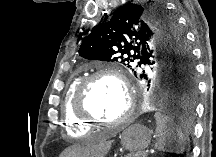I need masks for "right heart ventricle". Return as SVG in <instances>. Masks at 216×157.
<instances>
[{"instance_id": "1", "label": "right heart ventricle", "mask_w": 216, "mask_h": 157, "mask_svg": "<svg viewBox=\"0 0 216 157\" xmlns=\"http://www.w3.org/2000/svg\"><path fill=\"white\" fill-rule=\"evenodd\" d=\"M81 81L80 77L71 80L64 91L61 110L65 131L74 137H81L91 133V127L84 121L77 118L73 111V97L76 87Z\"/></svg>"}]
</instances>
